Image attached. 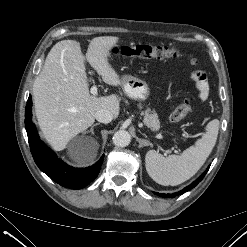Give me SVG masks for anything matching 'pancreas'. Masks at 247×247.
Masks as SVG:
<instances>
[{"mask_svg": "<svg viewBox=\"0 0 247 247\" xmlns=\"http://www.w3.org/2000/svg\"><path fill=\"white\" fill-rule=\"evenodd\" d=\"M139 107L142 108L141 105H139ZM144 123L152 130H158L160 127L157 113L155 111H151L150 109L145 111Z\"/></svg>", "mask_w": 247, "mask_h": 247, "instance_id": "1", "label": "pancreas"}]
</instances>
